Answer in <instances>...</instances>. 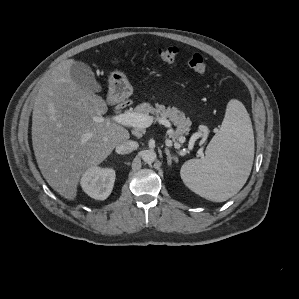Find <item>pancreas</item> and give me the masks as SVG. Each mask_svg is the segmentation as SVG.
Returning a JSON list of instances; mask_svg holds the SVG:
<instances>
[{"mask_svg": "<svg viewBox=\"0 0 299 299\" xmlns=\"http://www.w3.org/2000/svg\"><path fill=\"white\" fill-rule=\"evenodd\" d=\"M129 112L144 115L152 114L158 118H168L176 127L170 134V137L174 140L183 141V136L187 135L190 131L191 121L186 119L184 113L175 107L165 108L164 105L159 104L153 107L150 103H141Z\"/></svg>", "mask_w": 299, "mask_h": 299, "instance_id": "pancreas-1", "label": "pancreas"}]
</instances>
